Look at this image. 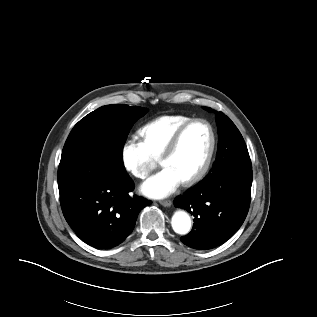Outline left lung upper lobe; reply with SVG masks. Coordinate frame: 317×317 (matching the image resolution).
I'll use <instances>...</instances> for the list:
<instances>
[{"label": "left lung upper lobe", "mask_w": 317, "mask_h": 317, "mask_svg": "<svg viewBox=\"0 0 317 317\" xmlns=\"http://www.w3.org/2000/svg\"><path fill=\"white\" fill-rule=\"evenodd\" d=\"M211 111L209 107H204ZM218 124V151L210 173L205 177L213 179L234 168L252 169L244 139L234 123L222 112L216 114Z\"/></svg>", "instance_id": "left-lung-upper-lobe-1"}]
</instances>
